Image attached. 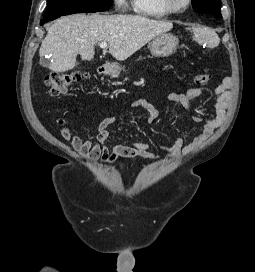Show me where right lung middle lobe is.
I'll use <instances>...</instances> for the list:
<instances>
[{
	"instance_id": "1",
	"label": "right lung middle lobe",
	"mask_w": 255,
	"mask_h": 272,
	"mask_svg": "<svg viewBox=\"0 0 255 272\" xmlns=\"http://www.w3.org/2000/svg\"><path fill=\"white\" fill-rule=\"evenodd\" d=\"M113 0H48L44 17L108 10Z\"/></svg>"
}]
</instances>
